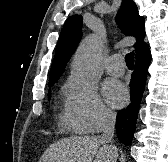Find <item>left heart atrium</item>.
<instances>
[{
  "mask_svg": "<svg viewBox=\"0 0 168 162\" xmlns=\"http://www.w3.org/2000/svg\"><path fill=\"white\" fill-rule=\"evenodd\" d=\"M104 94L107 101L114 107H121L128 97L126 88L115 81H109L105 84Z\"/></svg>",
  "mask_w": 168,
  "mask_h": 162,
  "instance_id": "left-heart-atrium-1",
  "label": "left heart atrium"
}]
</instances>
